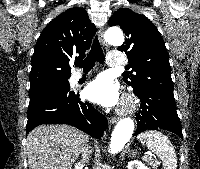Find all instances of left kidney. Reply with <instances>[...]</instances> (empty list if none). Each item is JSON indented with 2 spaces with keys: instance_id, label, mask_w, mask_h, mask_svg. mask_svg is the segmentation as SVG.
<instances>
[{
  "instance_id": "obj_1",
  "label": "left kidney",
  "mask_w": 200,
  "mask_h": 169,
  "mask_svg": "<svg viewBox=\"0 0 200 169\" xmlns=\"http://www.w3.org/2000/svg\"><path fill=\"white\" fill-rule=\"evenodd\" d=\"M128 169H150L149 167L145 166L142 162L138 160H132L128 162Z\"/></svg>"
}]
</instances>
